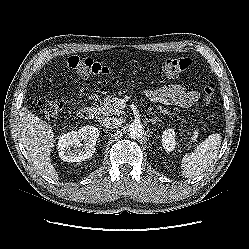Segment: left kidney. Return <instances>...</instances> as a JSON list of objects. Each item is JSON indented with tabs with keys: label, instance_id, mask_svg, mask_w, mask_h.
<instances>
[{
	"label": "left kidney",
	"instance_id": "5707ae66",
	"mask_svg": "<svg viewBox=\"0 0 249 249\" xmlns=\"http://www.w3.org/2000/svg\"><path fill=\"white\" fill-rule=\"evenodd\" d=\"M162 146L167 152H171L175 149L176 140H175V132L173 129H167L162 133Z\"/></svg>",
	"mask_w": 249,
	"mask_h": 249
}]
</instances>
